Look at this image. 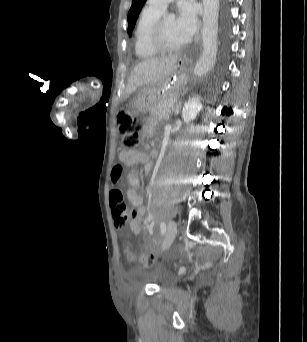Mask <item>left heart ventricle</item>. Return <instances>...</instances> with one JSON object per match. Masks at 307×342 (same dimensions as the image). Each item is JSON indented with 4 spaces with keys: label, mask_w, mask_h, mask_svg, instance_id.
Instances as JSON below:
<instances>
[{
    "label": "left heart ventricle",
    "mask_w": 307,
    "mask_h": 342,
    "mask_svg": "<svg viewBox=\"0 0 307 342\" xmlns=\"http://www.w3.org/2000/svg\"><path fill=\"white\" fill-rule=\"evenodd\" d=\"M161 40L163 45L170 50L182 49L185 46V43L177 34L173 18L166 19L162 28Z\"/></svg>",
    "instance_id": "left-heart-ventricle-1"
}]
</instances>
